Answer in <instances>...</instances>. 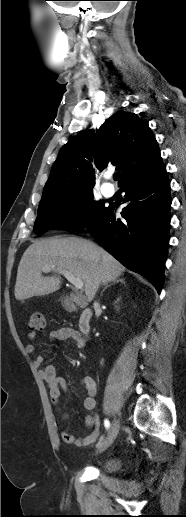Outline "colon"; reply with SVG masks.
Returning a JSON list of instances; mask_svg holds the SVG:
<instances>
[{
    "mask_svg": "<svg viewBox=\"0 0 186 517\" xmlns=\"http://www.w3.org/2000/svg\"><path fill=\"white\" fill-rule=\"evenodd\" d=\"M45 318L42 312L34 311L30 315L29 328L35 332H43L45 330Z\"/></svg>",
    "mask_w": 186,
    "mask_h": 517,
    "instance_id": "1",
    "label": "colon"
}]
</instances>
